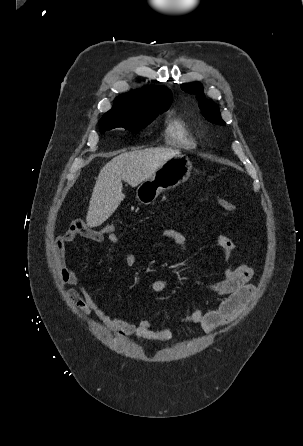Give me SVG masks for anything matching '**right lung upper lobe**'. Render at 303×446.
Returning a JSON list of instances; mask_svg holds the SVG:
<instances>
[{
    "instance_id": "cb5924a9",
    "label": "right lung upper lobe",
    "mask_w": 303,
    "mask_h": 446,
    "mask_svg": "<svg viewBox=\"0 0 303 446\" xmlns=\"http://www.w3.org/2000/svg\"><path fill=\"white\" fill-rule=\"evenodd\" d=\"M172 102V93L162 86L143 87L133 92L119 95L115 99L112 112L142 114L159 106H167Z\"/></svg>"
}]
</instances>
